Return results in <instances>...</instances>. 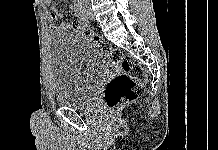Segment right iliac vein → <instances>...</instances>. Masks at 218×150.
I'll use <instances>...</instances> for the list:
<instances>
[{
  "label": "right iliac vein",
  "mask_w": 218,
  "mask_h": 150,
  "mask_svg": "<svg viewBox=\"0 0 218 150\" xmlns=\"http://www.w3.org/2000/svg\"><path fill=\"white\" fill-rule=\"evenodd\" d=\"M83 11H84V14H85L86 16H90L91 13H90L89 10L86 9V7H84Z\"/></svg>",
  "instance_id": "right-iliac-vein-1"
}]
</instances>
